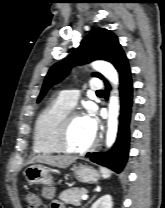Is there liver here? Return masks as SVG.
<instances>
[{"mask_svg": "<svg viewBox=\"0 0 165 208\" xmlns=\"http://www.w3.org/2000/svg\"><path fill=\"white\" fill-rule=\"evenodd\" d=\"M75 160V157L68 156L37 155L32 157L29 163H44L53 167L64 169L71 165Z\"/></svg>", "mask_w": 165, "mask_h": 208, "instance_id": "liver-1", "label": "liver"}]
</instances>
